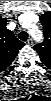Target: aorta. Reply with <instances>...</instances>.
I'll list each match as a JSON object with an SVG mask.
<instances>
[{
	"mask_svg": "<svg viewBox=\"0 0 51 101\" xmlns=\"http://www.w3.org/2000/svg\"><path fill=\"white\" fill-rule=\"evenodd\" d=\"M32 36L37 40V41H41L43 39L42 34L38 31H32Z\"/></svg>",
	"mask_w": 51,
	"mask_h": 101,
	"instance_id": "obj_1",
	"label": "aorta"
}]
</instances>
